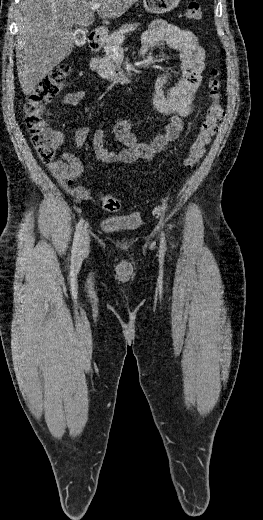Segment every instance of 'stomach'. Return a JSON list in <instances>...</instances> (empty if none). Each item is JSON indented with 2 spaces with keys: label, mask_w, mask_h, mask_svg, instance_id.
I'll return each mask as SVG.
<instances>
[{
  "label": "stomach",
  "mask_w": 263,
  "mask_h": 520,
  "mask_svg": "<svg viewBox=\"0 0 263 520\" xmlns=\"http://www.w3.org/2000/svg\"><path fill=\"white\" fill-rule=\"evenodd\" d=\"M180 0H143L147 12L162 14L173 10L178 6Z\"/></svg>",
  "instance_id": "1"
}]
</instances>
